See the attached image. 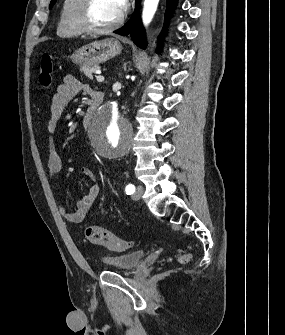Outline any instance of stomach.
I'll use <instances>...</instances> for the list:
<instances>
[{
	"instance_id": "stomach-1",
	"label": "stomach",
	"mask_w": 285,
	"mask_h": 335,
	"mask_svg": "<svg viewBox=\"0 0 285 335\" xmlns=\"http://www.w3.org/2000/svg\"><path fill=\"white\" fill-rule=\"evenodd\" d=\"M121 50L122 46L118 40L106 38V40H97L78 48L74 54H71L70 60L77 66H98L121 54Z\"/></svg>"
}]
</instances>
